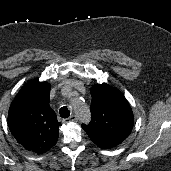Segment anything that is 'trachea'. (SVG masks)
Wrapping results in <instances>:
<instances>
[{"label": "trachea", "instance_id": "obj_1", "mask_svg": "<svg viewBox=\"0 0 171 171\" xmlns=\"http://www.w3.org/2000/svg\"><path fill=\"white\" fill-rule=\"evenodd\" d=\"M59 113L62 118H68L70 116V110L67 106L61 107Z\"/></svg>", "mask_w": 171, "mask_h": 171}]
</instances>
